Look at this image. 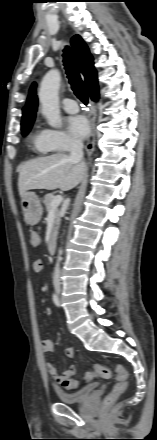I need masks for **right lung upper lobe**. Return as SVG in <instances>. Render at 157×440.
<instances>
[{"instance_id":"cb5924a9","label":"right lung upper lobe","mask_w":157,"mask_h":440,"mask_svg":"<svg viewBox=\"0 0 157 440\" xmlns=\"http://www.w3.org/2000/svg\"><path fill=\"white\" fill-rule=\"evenodd\" d=\"M71 44L80 68L85 77V83L90 96L98 95L97 73L93 66V58L88 47L79 35H75L71 39ZM35 87L33 84L26 106L23 108L22 124L33 123L37 109V97L35 95Z\"/></svg>"}]
</instances>
